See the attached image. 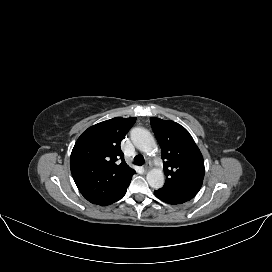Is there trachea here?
Listing matches in <instances>:
<instances>
[{
    "instance_id": "1",
    "label": "trachea",
    "mask_w": 272,
    "mask_h": 272,
    "mask_svg": "<svg viewBox=\"0 0 272 272\" xmlns=\"http://www.w3.org/2000/svg\"><path fill=\"white\" fill-rule=\"evenodd\" d=\"M134 164L142 166L145 163L144 157L142 155H137L134 157Z\"/></svg>"
}]
</instances>
